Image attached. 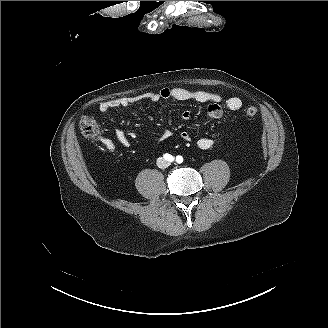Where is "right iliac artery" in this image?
<instances>
[{"label":"right iliac artery","instance_id":"right-iliac-artery-1","mask_svg":"<svg viewBox=\"0 0 328 328\" xmlns=\"http://www.w3.org/2000/svg\"><path fill=\"white\" fill-rule=\"evenodd\" d=\"M164 158H165V160L170 161V162H172L174 160V157L168 153L164 154Z\"/></svg>","mask_w":328,"mask_h":328}]
</instances>
